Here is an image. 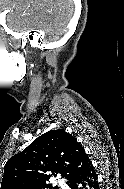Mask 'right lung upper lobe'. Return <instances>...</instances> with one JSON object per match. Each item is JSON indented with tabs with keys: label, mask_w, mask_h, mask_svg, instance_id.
Returning <instances> with one entry per match:
<instances>
[{
	"label": "right lung upper lobe",
	"mask_w": 124,
	"mask_h": 189,
	"mask_svg": "<svg viewBox=\"0 0 124 189\" xmlns=\"http://www.w3.org/2000/svg\"><path fill=\"white\" fill-rule=\"evenodd\" d=\"M90 162L76 138L63 129L51 130L7 161L1 189H38L52 175L69 179Z\"/></svg>",
	"instance_id": "1"
}]
</instances>
